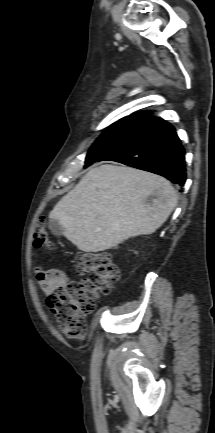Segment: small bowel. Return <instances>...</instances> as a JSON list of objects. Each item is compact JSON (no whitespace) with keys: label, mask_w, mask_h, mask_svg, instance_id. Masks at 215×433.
Here are the masks:
<instances>
[{"label":"small bowel","mask_w":215,"mask_h":433,"mask_svg":"<svg viewBox=\"0 0 215 433\" xmlns=\"http://www.w3.org/2000/svg\"><path fill=\"white\" fill-rule=\"evenodd\" d=\"M36 280L46 295H51L69 283L68 275L58 268H38Z\"/></svg>","instance_id":"c3829d8e"}]
</instances>
